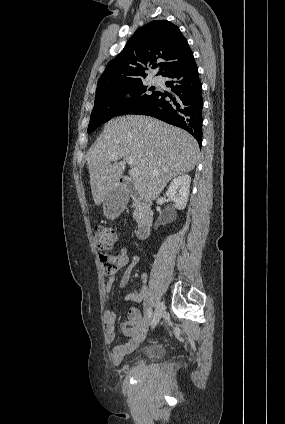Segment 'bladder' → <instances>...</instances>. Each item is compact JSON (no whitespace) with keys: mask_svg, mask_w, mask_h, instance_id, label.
<instances>
[{"mask_svg":"<svg viewBox=\"0 0 285 424\" xmlns=\"http://www.w3.org/2000/svg\"><path fill=\"white\" fill-rule=\"evenodd\" d=\"M142 352L147 357L159 358L164 354V347L160 344H152L146 346Z\"/></svg>","mask_w":285,"mask_h":424,"instance_id":"obj_1","label":"bladder"}]
</instances>
